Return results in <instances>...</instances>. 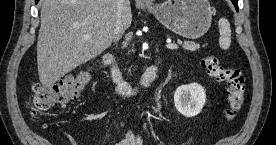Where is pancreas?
Instances as JSON below:
<instances>
[{"label":"pancreas","instance_id":"pancreas-1","mask_svg":"<svg viewBox=\"0 0 276 145\" xmlns=\"http://www.w3.org/2000/svg\"><path fill=\"white\" fill-rule=\"evenodd\" d=\"M200 48V45L194 42L190 41H185L183 43V49L184 50H189V51H196Z\"/></svg>","mask_w":276,"mask_h":145}]
</instances>
